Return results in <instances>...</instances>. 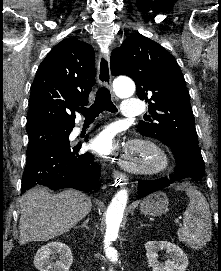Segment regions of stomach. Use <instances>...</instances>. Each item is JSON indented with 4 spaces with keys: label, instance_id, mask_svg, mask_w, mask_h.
Returning a JSON list of instances; mask_svg holds the SVG:
<instances>
[{
    "label": "stomach",
    "instance_id": "stomach-1",
    "mask_svg": "<svg viewBox=\"0 0 221 271\" xmlns=\"http://www.w3.org/2000/svg\"><path fill=\"white\" fill-rule=\"evenodd\" d=\"M169 199L164 191H155L144 197L140 203V209L145 215H162L169 211Z\"/></svg>",
    "mask_w": 221,
    "mask_h": 271
}]
</instances>
